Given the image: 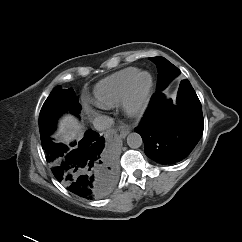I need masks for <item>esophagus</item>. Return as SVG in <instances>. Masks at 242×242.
Segmentation results:
<instances>
[{
    "mask_svg": "<svg viewBox=\"0 0 242 242\" xmlns=\"http://www.w3.org/2000/svg\"><path fill=\"white\" fill-rule=\"evenodd\" d=\"M119 131H120V138L122 139H124L130 133V129L127 126H121Z\"/></svg>",
    "mask_w": 242,
    "mask_h": 242,
    "instance_id": "obj_1",
    "label": "esophagus"
}]
</instances>
